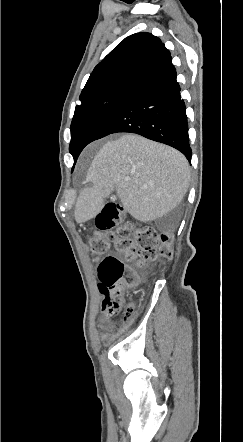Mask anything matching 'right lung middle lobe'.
Returning a JSON list of instances; mask_svg holds the SVG:
<instances>
[{
    "instance_id": "obj_1",
    "label": "right lung middle lobe",
    "mask_w": 243,
    "mask_h": 442,
    "mask_svg": "<svg viewBox=\"0 0 243 442\" xmlns=\"http://www.w3.org/2000/svg\"><path fill=\"white\" fill-rule=\"evenodd\" d=\"M131 92L118 90L106 93L81 102L76 106L71 123L70 153L74 164L83 148L91 142V138L113 109Z\"/></svg>"
}]
</instances>
